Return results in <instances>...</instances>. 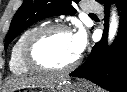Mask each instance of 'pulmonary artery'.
<instances>
[{"instance_id": "e3ab8cb5", "label": "pulmonary artery", "mask_w": 127, "mask_h": 92, "mask_svg": "<svg viewBox=\"0 0 127 92\" xmlns=\"http://www.w3.org/2000/svg\"><path fill=\"white\" fill-rule=\"evenodd\" d=\"M101 9L98 5H89L85 8L87 12H99Z\"/></svg>"}]
</instances>
